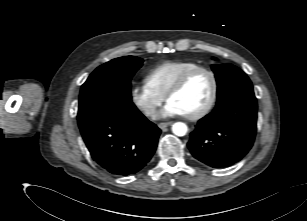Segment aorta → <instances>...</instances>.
Masks as SVG:
<instances>
[{
    "mask_svg": "<svg viewBox=\"0 0 307 221\" xmlns=\"http://www.w3.org/2000/svg\"><path fill=\"white\" fill-rule=\"evenodd\" d=\"M188 131V127L185 123L176 122L172 125V132L177 136H184Z\"/></svg>",
    "mask_w": 307,
    "mask_h": 221,
    "instance_id": "obj_1",
    "label": "aorta"
}]
</instances>
